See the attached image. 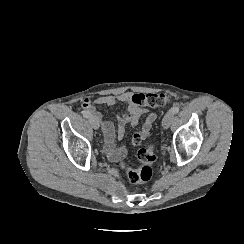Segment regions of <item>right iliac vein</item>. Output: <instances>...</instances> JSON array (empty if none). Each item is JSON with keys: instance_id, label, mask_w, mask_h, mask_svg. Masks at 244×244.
Returning <instances> with one entry per match:
<instances>
[{"instance_id": "63e3f726", "label": "right iliac vein", "mask_w": 244, "mask_h": 244, "mask_svg": "<svg viewBox=\"0 0 244 244\" xmlns=\"http://www.w3.org/2000/svg\"><path fill=\"white\" fill-rule=\"evenodd\" d=\"M89 122L91 124V126L95 129L98 130L99 129V121L95 116H90L89 117Z\"/></svg>"}]
</instances>
